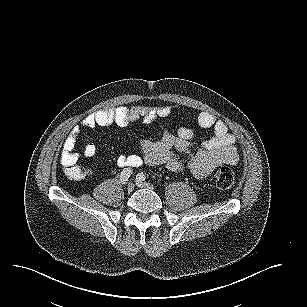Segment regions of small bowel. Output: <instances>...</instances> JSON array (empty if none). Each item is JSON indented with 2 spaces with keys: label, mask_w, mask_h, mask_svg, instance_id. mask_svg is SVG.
<instances>
[{
  "label": "small bowel",
  "mask_w": 307,
  "mask_h": 307,
  "mask_svg": "<svg viewBox=\"0 0 307 307\" xmlns=\"http://www.w3.org/2000/svg\"><path fill=\"white\" fill-rule=\"evenodd\" d=\"M173 107L169 105L149 107L133 106L114 109H102L87 115L66 137L60 155L62 165L69 166L79 159L76 142L82 129L117 125L124 127L131 122L142 120L145 123L156 122L168 117ZM202 128H212L210 137L195 148L192 139L193 131L181 127L172 132L160 127L159 138L155 141L145 140L141 143V154H121L116 163L120 168H137L144 163L163 165L172 171H188L196 178H205L217 167L228 164L236 165L239 155L236 148V137L229 132L225 122L218 120L209 112H201L196 118ZM97 149L94 144H87L84 155L93 160ZM180 155H185L183 159Z\"/></svg>",
  "instance_id": "c3829d8e"
}]
</instances>
